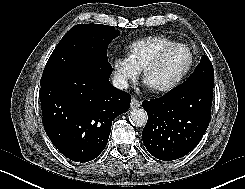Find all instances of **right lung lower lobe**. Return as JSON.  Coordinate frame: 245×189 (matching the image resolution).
Segmentation results:
<instances>
[{"mask_svg":"<svg viewBox=\"0 0 245 189\" xmlns=\"http://www.w3.org/2000/svg\"><path fill=\"white\" fill-rule=\"evenodd\" d=\"M111 73L108 60L89 59L41 86L45 131L72 161L95 159L106 147L112 121L129 109L131 97L111 85Z\"/></svg>","mask_w":245,"mask_h":189,"instance_id":"98d812e1","label":"right lung lower lobe"}]
</instances>
